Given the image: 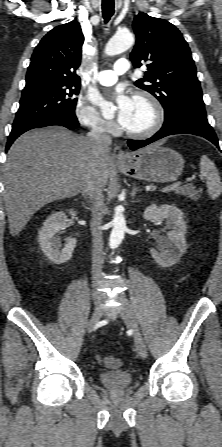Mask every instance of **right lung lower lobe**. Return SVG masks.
Returning <instances> with one entry per match:
<instances>
[{"mask_svg": "<svg viewBox=\"0 0 222 447\" xmlns=\"http://www.w3.org/2000/svg\"><path fill=\"white\" fill-rule=\"evenodd\" d=\"M60 125L70 130L78 128L79 123L74 113H60L45 117L41 120L28 122L19 126L12 127V131L8 137L6 151L9 149L14 140L22 133L40 127Z\"/></svg>", "mask_w": 222, "mask_h": 447, "instance_id": "obj_1", "label": "right lung lower lobe"}]
</instances>
